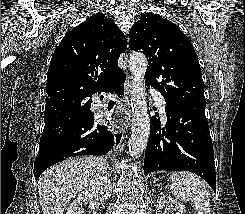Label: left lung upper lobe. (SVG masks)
<instances>
[{
	"mask_svg": "<svg viewBox=\"0 0 245 214\" xmlns=\"http://www.w3.org/2000/svg\"><path fill=\"white\" fill-rule=\"evenodd\" d=\"M129 47L148 58L145 84L170 104H206L198 57L177 25L154 13L143 14L130 32Z\"/></svg>",
	"mask_w": 245,
	"mask_h": 214,
	"instance_id": "obj_1",
	"label": "left lung upper lobe"
}]
</instances>
